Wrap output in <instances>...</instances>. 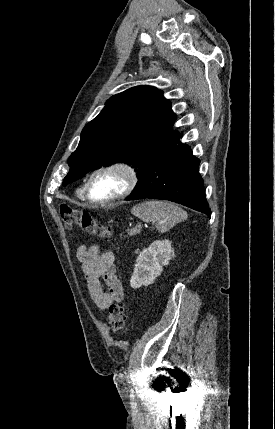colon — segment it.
I'll return each mask as SVG.
<instances>
[{
  "label": "colon",
  "instance_id": "obj_1",
  "mask_svg": "<svg viewBox=\"0 0 275 429\" xmlns=\"http://www.w3.org/2000/svg\"><path fill=\"white\" fill-rule=\"evenodd\" d=\"M60 216L64 226L71 230L77 228L85 233L95 235L103 240H110L112 229L109 225L97 221L88 211L71 207L67 204L60 205ZM108 318L113 332L121 334L125 331L126 313L121 304H112L108 308Z\"/></svg>",
  "mask_w": 275,
  "mask_h": 429
}]
</instances>
